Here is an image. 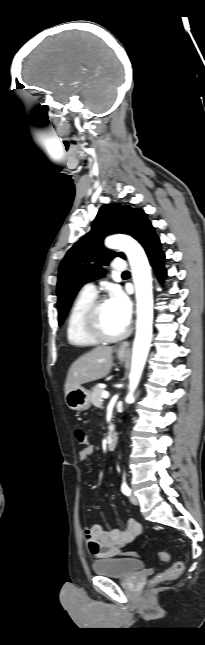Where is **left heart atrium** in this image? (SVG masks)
<instances>
[{"instance_id":"1","label":"left heart atrium","mask_w":205,"mask_h":645,"mask_svg":"<svg viewBox=\"0 0 205 645\" xmlns=\"http://www.w3.org/2000/svg\"><path fill=\"white\" fill-rule=\"evenodd\" d=\"M122 324L127 327L132 315V304L128 296L120 289H114L108 300Z\"/></svg>"}]
</instances>
